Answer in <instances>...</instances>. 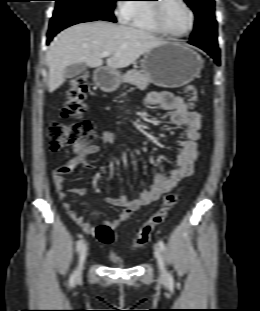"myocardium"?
<instances>
[{
	"mask_svg": "<svg viewBox=\"0 0 260 311\" xmlns=\"http://www.w3.org/2000/svg\"><path fill=\"white\" fill-rule=\"evenodd\" d=\"M164 2L165 0H156L155 3L150 5L152 19L155 25L157 26V28L160 30L162 34L167 35L169 37L182 38V37L188 36L192 32L195 26V13L193 9L191 8V6L189 5V3L186 0H179V2L182 3V5L187 9L190 15L189 28L183 33H173L165 27L164 22H163L162 9H163Z\"/></svg>",
	"mask_w": 260,
	"mask_h": 311,
	"instance_id": "myocardium-1",
	"label": "myocardium"
}]
</instances>
